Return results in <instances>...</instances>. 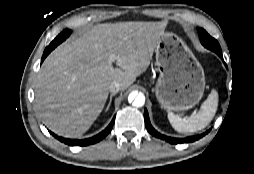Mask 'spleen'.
Masks as SVG:
<instances>
[{
    "mask_svg": "<svg viewBox=\"0 0 254 174\" xmlns=\"http://www.w3.org/2000/svg\"><path fill=\"white\" fill-rule=\"evenodd\" d=\"M217 107L218 93L213 89L196 115L182 118L177 114L168 113V120L177 132L193 133L204 129L213 120Z\"/></svg>",
    "mask_w": 254,
    "mask_h": 174,
    "instance_id": "3e777b00",
    "label": "spleen"
}]
</instances>
